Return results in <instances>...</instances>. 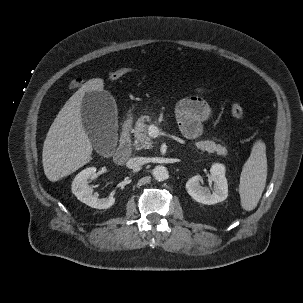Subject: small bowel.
Segmentation results:
<instances>
[{
	"instance_id": "small-bowel-1",
	"label": "small bowel",
	"mask_w": 303,
	"mask_h": 303,
	"mask_svg": "<svg viewBox=\"0 0 303 303\" xmlns=\"http://www.w3.org/2000/svg\"><path fill=\"white\" fill-rule=\"evenodd\" d=\"M83 84L80 78L73 79L71 88H78ZM176 118L183 135L189 139L201 136L203 125L214 115L213 108L199 95H193L182 99L175 109Z\"/></svg>"
}]
</instances>
